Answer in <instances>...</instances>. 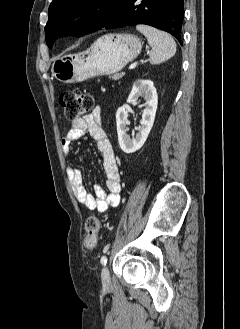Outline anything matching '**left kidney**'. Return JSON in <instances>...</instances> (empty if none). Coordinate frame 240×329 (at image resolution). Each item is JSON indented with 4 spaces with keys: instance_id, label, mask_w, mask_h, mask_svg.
Masks as SVG:
<instances>
[{
    "instance_id": "1",
    "label": "left kidney",
    "mask_w": 240,
    "mask_h": 329,
    "mask_svg": "<svg viewBox=\"0 0 240 329\" xmlns=\"http://www.w3.org/2000/svg\"><path fill=\"white\" fill-rule=\"evenodd\" d=\"M145 99L141 126L135 137L130 138L127 134V105L120 107L116 112L117 134L120 148L127 154L139 150L145 143L156 115L158 96L156 88L151 80L139 79L134 82L127 103H137L138 98Z\"/></svg>"
}]
</instances>
